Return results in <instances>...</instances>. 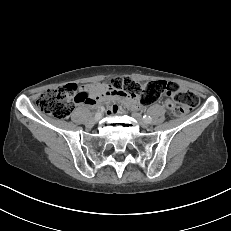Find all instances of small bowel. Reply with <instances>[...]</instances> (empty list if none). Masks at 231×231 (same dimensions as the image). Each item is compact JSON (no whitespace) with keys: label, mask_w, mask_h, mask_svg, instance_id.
Returning <instances> with one entry per match:
<instances>
[{"label":"small bowel","mask_w":231,"mask_h":231,"mask_svg":"<svg viewBox=\"0 0 231 231\" xmlns=\"http://www.w3.org/2000/svg\"><path fill=\"white\" fill-rule=\"evenodd\" d=\"M80 90L82 98L78 102L90 107H99L103 103L111 100H118L123 105L130 106L136 110L141 107L138 97L116 92L109 88L105 82L84 85ZM108 110L111 113H115L119 110V107L117 105H111Z\"/></svg>","instance_id":"obj_1"}]
</instances>
